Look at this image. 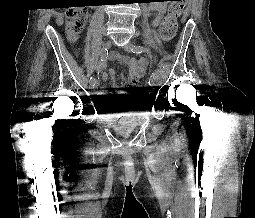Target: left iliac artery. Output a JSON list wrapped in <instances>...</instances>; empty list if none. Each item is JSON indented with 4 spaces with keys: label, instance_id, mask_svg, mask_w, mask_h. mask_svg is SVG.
I'll return each instance as SVG.
<instances>
[{
    "label": "left iliac artery",
    "instance_id": "44dca946",
    "mask_svg": "<svg viewBox=\"0 0 255 218\" xmlns=\"http://www.w3.org/2000/svg\"><path fill=\"white\" fill-rule=\"evenodd\" d=\"M132 52L136 54H140L142 52H149V50L143 46H134ZM155 80H156V73L153 72L149 78L148 84L153 85L155 83Z\"/></svg>",
    "mask_w": 255,
    "mask_h": 218
}]
</instances>
